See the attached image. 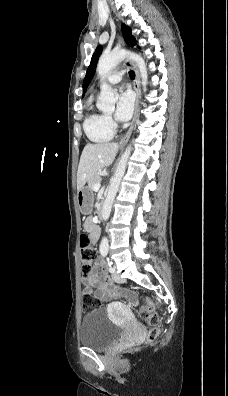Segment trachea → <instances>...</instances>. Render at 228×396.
Instances as JSON below:
<instances>
[{
    "label": "trachea",
    "mask_w": 228,
    "mask_h": 396,
    "mask_svg": "<svg viewBox=\"0 0 228 396\" xmlns=\"http://www.w3.org/2000/svg\"><path fill=\"white\" fill-rule=\"evenodd\" d=\"M129 77L131 79H134L135 78V73L133 71H129Z\"/></svg>",
    "instance_id": "1"
}]
</instances>
